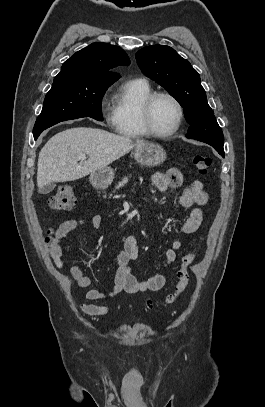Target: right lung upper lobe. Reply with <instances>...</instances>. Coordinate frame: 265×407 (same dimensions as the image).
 <instances>
[{"label": "right lung upper lobe", "instance_id": "right-lung-upper-lobe-1", "mask_svg": "<svg viewBox=\"0 0 265 407\" xmlns=\"http://www.w3.org/2000/svg\"><path fill=\"white\" fill-rule=\"evenodd\" d=\"M130 60L123 49L107 43H93L76 52L62 65L57 76H67L76 81L114 83L119 75L109 72L118 65H129Z\"/></svg>", "mask_w": 265, "mask_h": 407}]
</instances>
